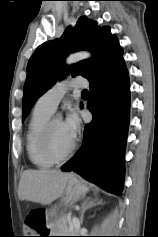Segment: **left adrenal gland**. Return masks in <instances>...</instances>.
<instances>
[{
  "mask_svg": "<svg viewBox=\"0 0 158 237\" xmlns=\"http://www.w3.org/2000/svg\"><path fill=\"white\" fill-rule=\"evenodd\" d=\"M97 204H102V200H90V198H86L82 204H81V212H80V222L83 223V217H84V213L86 210H88L89 208L97 205Z\"/></svg>",
  "mask_w": 158,
  "mask_h": 237,
  "instance_id": "1",
  "label": "left adrenal gland"
}]
</instances>
